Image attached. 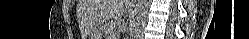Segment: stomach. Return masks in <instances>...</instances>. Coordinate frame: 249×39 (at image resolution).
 Masks as SVG:
<instances>
[{"instance_id":"0dacf381","label":"stomach","mask_w":249,"mask_h":39,"mask_svg":"<svg viewBox=\"0 0 249 39\" xmlns=\"http://www.w3.org/2000/svg\"><path fill=\"white\" fill-rule=\"evenodd\" d=\"M103 24H98L93 26L91 29L89 36L91 39H99L102 35Z\"/></svg>"}]
</instances>
